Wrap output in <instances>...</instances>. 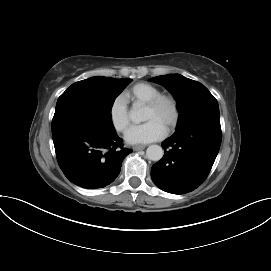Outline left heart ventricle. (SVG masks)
Returning <instances> with one entry per match:
<instances>
[{
  "label": "left heart ventricle",
  "instance_id": "obj_1",
  "mask_svg": "<svg viewBox=\"0 0 271 271\" xmlns=\"http://www.w3.org/2000/svg\"><path fill=\"white\" fill-rule=\"evenodd\" d=\"M172 118V108L169 103L164 102L159 105L156 109H144L143 120H156L159 122L163 127L167 128L170 120Z\"/></svg>",
  "mask_w": 271,
  "mask_h": 271
}]
</instances>
